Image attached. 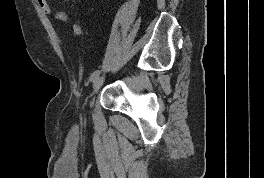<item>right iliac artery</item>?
Listing matches in <instances>:
<instances>
[{"label": "right iliac artery", "mask_w": 264, "mask_h": 178, "mask_svg": "<svg viewBox=\"0 0 264 178\" xmlns=\"http://www.w3.org/2000/svg\"><path fill=\"white\" fill-rule=\"evenodd\" d=\"M100 71L96 70L92 75H91V80H93L94 78H96L97 76H99Z\"/></svg>", "instance_id": "obj_1"}]
</instances>
